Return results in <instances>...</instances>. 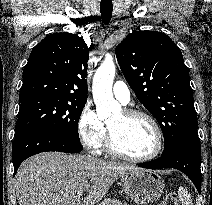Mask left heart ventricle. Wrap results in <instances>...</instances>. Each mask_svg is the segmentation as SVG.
I'll return each instance as SVG.
<instances>
[{"label":"left heart ventricle","mask_w":212,"mask_h":205,"mask_svg":"<svg viewBox=\"0 0 212 205\" xmlns=\"http://www.w3.org/2000/svg\"><path fill=\"white\" fill-rule=\"evenodd\" d=\"M108 127L117 148L127 155H145L154 146L152 128L141 117H127L121 112L108 121Z\"/></svg>","instance_id":"left-heart-ventricle-1"}]
</instances>
